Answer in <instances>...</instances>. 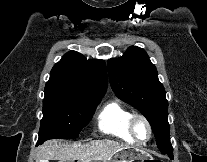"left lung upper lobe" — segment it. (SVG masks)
Instances as JSON below:
<instances>
[{"label": "left lung upper lobe", "mask_w": 207, "mask_h": 162, "mask_svg": "<svg viewBox=\"0 0 207 162\" xmlns=\"http://www.w3.org/2000/svg\"><path fill=\"white\" fill-rule=\"evenodd\" d=\"M107 65L116 96L139 110L150 122L159 150L172 152L165 90L147 53L131 46L122 57L108 60Z\"/></svg>", "instance_id": "1"}]
</instances>
